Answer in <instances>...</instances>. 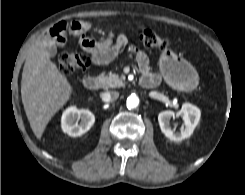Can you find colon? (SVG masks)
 Returning <instances> with one entry per match:
<instances>
[{"label":"colon","mask_w":245,"mask_h":195,"mask_svg":"<svg viewBox=\"0 0 245 195\" xmlns=\"http://www.w3.org/2000/svg\"><path fill=\"white\" fill-rule=\"evenodd\" d=\"M141 43L148 48L163 49L167 43L160 35L151 29H145L141 32ZM89 59L78 52H64L58 58V69L66 76L84 72L89 66Z\"/></svg>","instance_id":"obj_1"}]
</instances>
